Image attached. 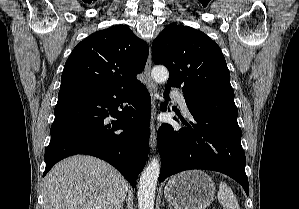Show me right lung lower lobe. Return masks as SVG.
Segmentation results:
<instances>
[{
    "instance_id": "right-lung-lower-lobe-1",
    "label": "right lung lower lobe",
    "mask_w": 299,
    "mask_h": 209,
    "mask_svg": "<svg viewBox=\"0 0 299 209\" xmlns=\"http://www.w3.org/2000/svg\"><path fill=\"white\" fill-rule=\"evenodd\" d=\"M54 114L43 176L58 161L86 154L110 163L132 187L136 186L149 146L151 97L143 84L58 94ZM108 116L117 120L109 123Z\"/></svg>"
}]
</instances>
